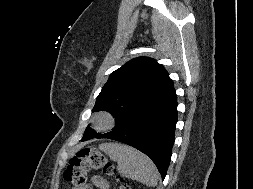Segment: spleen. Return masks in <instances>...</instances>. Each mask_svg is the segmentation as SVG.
I'll return each instance as SVG.
<instances>
[{
	"label": "spleen",
	"instance_id": "1",
	"mask_svg": "<svg viewBox=\"0 0 253 189\" xmlns=\"http://www.w3.org/2000/svg\"><path fill=\"white\" fill-rule=\"evenodd\" d=\"M99 149L117 162V170L121 175L149 186L157 185L159 173L156 166L139 150L111 142L99 145Z\"/></svg>",
	"mask_w": 253,
	"mask_h": 189
}]
</instances>
